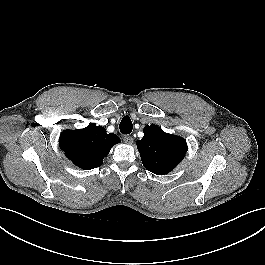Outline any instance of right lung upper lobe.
<instances>
[{
    "label": "right lung upper lobe",
    "instance_id": "obj_1",
    "mask_svg": "<svg viewBox=\"0 0 265 265\" xmlns=\"http://www.w3.org/2000/svg\"><path fill=\"white\" fill-rule=\"evenodd\" d=\"M117 143H120L117 135L107 134L104 127L95 124L83 129L65 130L59 138V146L66 157L85 170L99 167Z\"/></svg>",
    "mask_w": 265,
    "mask_h": 265
}]
</instances>
